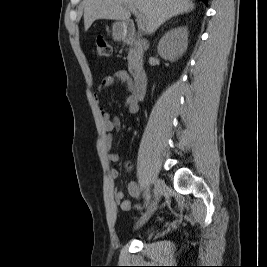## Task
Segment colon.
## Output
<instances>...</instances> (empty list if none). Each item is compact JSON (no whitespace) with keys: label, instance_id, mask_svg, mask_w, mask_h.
<instances>
[{"label":"colon","instance_id":"5ec220e1","mask_svg":"<svg viewBox=\"0 0 267 267\" xmlns=\"http://www.w3.org/2000/svg\"><path fill=\"white\" fill-rule=\"evenodd\" d=\"M95 46H96V53L100 57H108L112 54L111 45L103 37H98L96 39Z\"/></svg>","mask_w":267,"mask_h":267}]
</instances>
